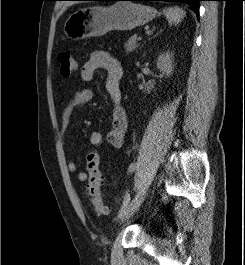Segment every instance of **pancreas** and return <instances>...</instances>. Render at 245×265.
<instances>
[{
	"label": "pancreas",
	"instance_id": "cf45deb5",
	"mask_svg": "<svg viewBox=\"0 0 245 265\" xmlns=\"http://www.w3.org/2000/svg\"><path fill=\"white\" fill-rule=\"evenodd\" d=\"M124 47H125V50H126V53H130L132 51H134L137 47H138V44H137V35H133L131 36L128 41L124 44Z\"/></svg>",
	"mask_w": 245,
	"mask_h": 265
}]
</instances>
